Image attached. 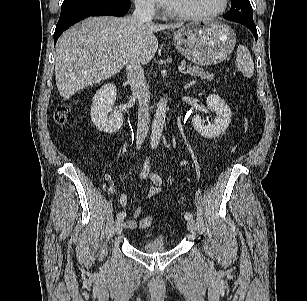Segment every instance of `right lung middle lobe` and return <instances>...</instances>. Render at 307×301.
I'll use <instances>...</instances> for the list:
<instances>
[{"label":"right lung middle lobe","instance_id":"dd1d6c3e","mask_svg":"<svg viewBox=\"0 0 307 301\" xmlns=\"http://www.w3.org/2000/svg\"><path fill=\"white\" fill-rule=\"evenodd\" d=\"M88 1H92V0H64L62 4V8H67V7L74 6V5L88 2ZM125 1H129V0H125Z\"/></svg>","mask_w":307,"mask_h":301}]
</instances>
